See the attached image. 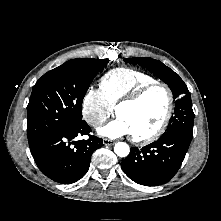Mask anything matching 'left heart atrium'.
<instances>
[{
    "instance_id": "1",
    "label": "left heart atrium",
    "mask_w": 221,
    "mask_h": 221,
    "mask_svg": "<svg viewBox=\"0 0 221 221\" xmlns=\"http://www.w3.org/2000/svg\"><path fill=\"white\" fill-rule=\"evenodd\" d=\"M98 134L108 138H118L131 134L126 122L117 116L116 119L108 122L98 130Z\"/></svg>"
}]
</instances>
